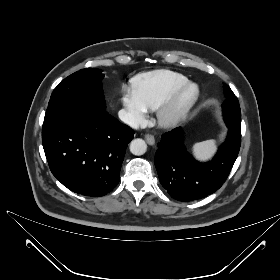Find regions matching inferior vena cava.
<instances>
[{"label": "inferior vena cava", "mask_w": 280, "mask_h": 280, "mask_svg": "<svg viewBox=\"0 0 280 280\" xmlns=\"http://www.w3.org/2000/svg\"><path fill=\"white\" fill-rule=\"evenodd\" d=\"M118 116L121 121L132 127L133 129L139 128L137 119L128 111L122 109L118 112Z\"/></svg>", "instance_id": "1"}]
</instances>
